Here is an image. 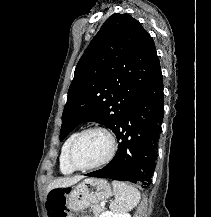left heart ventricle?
I'll return each instance as SVG.
<instances>
[{
  "label": "left heart ventricle",
  "instance_id": "1",
  "mask_svg": "<svg viewBox=\"0 0 211 217\" xmlns=\"http://www.w3.org/2000/svg\"><path fill=\"white\" fill-rule=\"evenodd\" d=\"M110 150L108 137L98 131L85 134L74 150V161L80 166H88L103 160Z\"/></svg>",
  "mask_w": 211,
  "mask_h": 217
}]
</instances>
